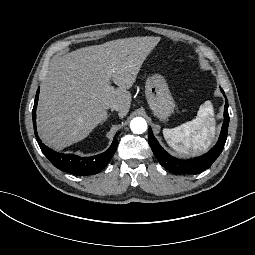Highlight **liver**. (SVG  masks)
<instances>
[{"label":"liver","instance_id":"1","mask_svg":"<svg viewBox=\"0 0 255 255\" xmlns=\"http://www.w3.org/2000/svg\"><path fill=\"white\" fill-rule=\"evenodd\" d=\"M160 40L119 39L52 60L41 84L37 113L41 138L59 150L80 142L107 119L112 103L120 105L118 117L124 118L132 100L128 90Z\"/></svg>","mask_w":255,"mask_h":255}]
</instances>
